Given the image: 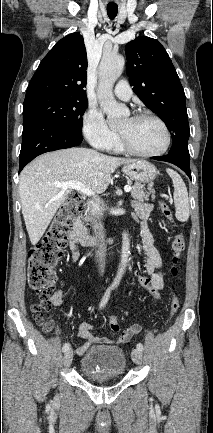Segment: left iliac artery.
<instances>
[{"mask_svg":"<svg viewBox=\"0 0 213 433\" xmlns=\"http://www.w3.org/2000/svg\"><path fill=\"white\" fill-rule=\"evenodd\" d=\"M136 347H137V349L140 350V351L143 350V345H142L141 343H138Z\"/></svg>","mask_w":213,"mask_h":433,"instance_id":"44dca946","label":"left iliac artery"}]
</instances>
